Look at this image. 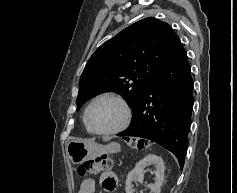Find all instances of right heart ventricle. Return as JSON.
<instances>
[{"label":"right heart ventricle","mask_w":237,"mask_h":193,"mask_svg":"<svg viewBox=\"0 0 237 193\" xmlns=\"http://www.w3.org/2000/svg\"><path fill=\"white\" fill-rule=\"evenodd\" d=\"M84 124H85L86 130H87L88 132H91L90 129L88 128V126L86 125L85 117H84Z\"/></svg>","instance_id":"e07e8e85"}]
</instances>
